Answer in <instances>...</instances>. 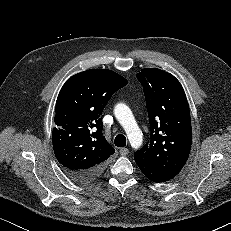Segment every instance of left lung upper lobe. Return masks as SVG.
<instances>
[{
  "mask_svg": "<svg viewBox=\"0 0 231 231\" xmlns=\"http://www.w3.org/2000/svg\"><path fill=\"white\" fill-rule=\"evenodd\" d=\"M137 78L146 99L150 141L134 156L157 170L178 174L189 157L192 143L184 90L173 75L157 68L142 69Z\"/></svg>",
  "mask_w": 231,
  "mask_h": 231,
  "instance_id": "obj_1",
  "label": "left lung upper lobe"
}]
</instances>
